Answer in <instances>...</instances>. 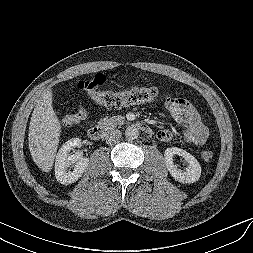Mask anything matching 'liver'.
Wrapping results in <instances>:
<instances>
[{"instance_id": "6515ba94", "label": "liver", "mask_w": 253, "mask_h": 253, "mask_svg": "<svg viewBox=\"0 0 253 253\" xmlns=\"http://www.w3.org/2000/svg\"><path fill=\"white\" fill-rule=\"evenodd\" d=\"M61 124L52 107V91L42 93L33 110L29 133V150L35 164L50 172L60 141Z\"/></svg>"}]
</instances>
